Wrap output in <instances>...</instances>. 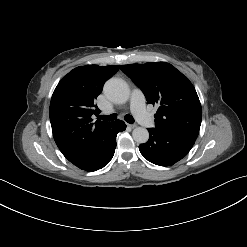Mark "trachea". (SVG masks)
<instances>
[{
    "mask_svg": "<svg viewBox=\"0 0 247 247\" xmlns=\"http://www.w3.org/2000/svg\"><path fill=\"white\" fill-rule=\"evenodd\" d=\"M99 119L107 120V121H113V120L117 119V114L114 113V114H111V115H100ZM124 119H125L126 122H128L130 124L134 123V118L130 114H126L124 116Z\"/></svg>",
    "mask_w": 247,
    "mask_h": 247,
    "instance_id": "obj_1",
    "label": "trachea"
}]
</instances>
